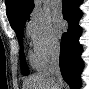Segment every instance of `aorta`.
Instances as JSON below:
<instances>
[{"mask_svg": "<svg viewBox=\"0 0 89 89\" xmlns=\"http://www.w3.org/2000/svg\"><path fill=\"white\" fill-rule=\"evenodd\" d=\"M35 7H36V8H40V7H41L40 1H36V2H35Z\"/></svg>", "mask_w": 89, "mask_h": 89, "instance_id": "aorta-1", "label": "aorta"}]
</instances>
